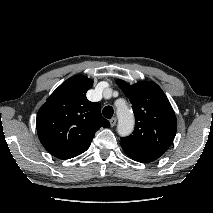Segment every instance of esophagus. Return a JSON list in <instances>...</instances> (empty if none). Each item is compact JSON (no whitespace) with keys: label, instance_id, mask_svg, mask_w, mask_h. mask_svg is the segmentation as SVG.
<instances>
[{"label":"esophagus","instance_id":"1","mask_svg":"<svg viewBox=\"0 0 213 213\" xmlns=\"http://www.w3.org/2000/svg\"><path fill=\"white\" fill-rule=\"evenodd\" d=\"M116 122H117L116 117L111 118L110 119V125H111V127H114L116 125Z\"/></svg>","mask_w":213,"mask_h":213}]
</instances>
